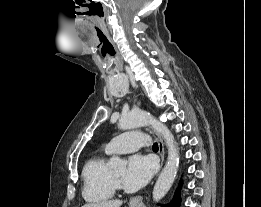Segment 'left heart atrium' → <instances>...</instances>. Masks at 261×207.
I'll return each mask as SVG.
<instances>
[{"label":"left heart atrium","instance_id":"obj_1","mask_svg":"<svg viewBox=\"0 0 261 207\" xmlns=\"http://www.w3.org/2000/svg\"><path fill=\"white\" fill-rule=\"evenodd\" d=\"M156 169V163L151 156L136 154L130 157L123 177L127 187L140 188L152 177Z\"/></svg>","mask_w":261,"mask_h":207}]
</instances>
